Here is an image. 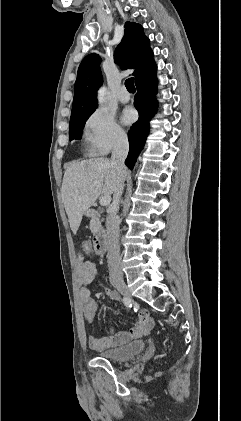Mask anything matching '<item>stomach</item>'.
<instances>
[{"label": "stomach", "mask_w": 241, "mask_h": 421, "mask_svg": "<svg viewBox=\"0 0 241 421\" xmlns=\"http://www.w3.org/2000/svg\"><path fill=\"white\" fill-rule=\"evenodd\" d=\"M85 214H86V215H89V213H88V212H86Z\"/></svg>", "instance_id": "obj_1"}]
</instances>
